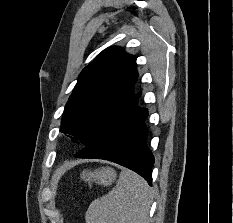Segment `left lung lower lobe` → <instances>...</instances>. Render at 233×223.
I'll use <instances>...</instances> for the list:
<instances>
[{
	"label": "left lung lower lobe",
	"instance_id": "1",
	"mask_svg": "<svg viewBox=\"0 0 233 223\" xmlns=\"http://www.w3.org/2000/svg\"><path fill=\"white\" fill-rule=\"evenodd\" d=\"M135 94L106 123L96 137L75 156L105 159L127 167L151 183L154 157L146 145L148 112L137 106Z\"/></svg>",
	"mask_w": 233,
	"mask_h": 223
}]
</instances>
